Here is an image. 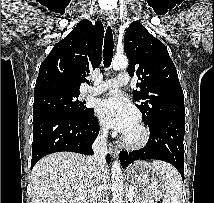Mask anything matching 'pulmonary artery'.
Here are the masks:
<instances>
[{
    "label": "pulmonary artery",
    "instance_id": "obj_1",
    "mask_svg": "<svg viewBox=\"0 0 214 203\" xmlns=\"http://www.w3.org/2000/svg\"><path fill=\"white\" fill-rule=\"evenodd\" d=\"M130 78L127 73H120L117 77L102 81L98 86L89 87L86 91L87 95H96L107 90H112L125 86L129 83Z\"/></svg>",
    "mask_w": 214,
    "mask_h": 203
}]
</instances>
